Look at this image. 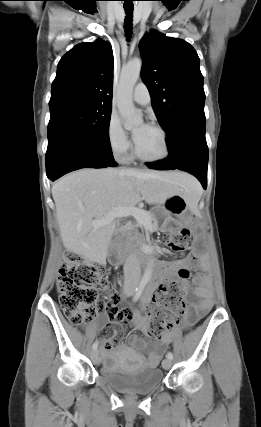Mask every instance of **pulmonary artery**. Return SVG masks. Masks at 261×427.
Here are the masks:
<instances>
[{"label":"pulmonary artery","instance_id":"pulmonary-artery-1","mask_svg":"<svg viewBox=\"0 0 261 427\" xmlns=\"http://www.w3.org/2000/svg\"><path fill=\"white\" fill-rule=\"evenodd\" d=\"M132 98L140 105H148L151 101L149 90L144 83H138L135 86Z\"/></svg>","mask_w":261,"mask_h":427}]
</instances>
